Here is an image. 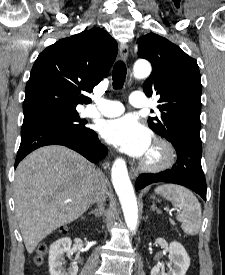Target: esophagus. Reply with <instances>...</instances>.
<instances>
[{
  "label": "esophagus",
  "instance_id": "34e87169",
  "mask_svg": "<svg viewBox=\"0 0 225 275\" xmlns=\"http://www.w3.org/2000/svg\"><path fill=\"white\" fill-rule=\"evenodd\" d=\"M119 53H120V56H121L122 60L126 62L129 58L128 46L124 43H121L119 45ZM130 176L133 179L138 176V171L133 167L130 168Z\"/></svg>",
  "mask_w": 225,
  "mask_h": 275
}]
</instances>
